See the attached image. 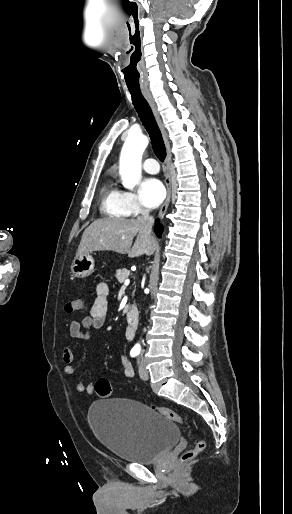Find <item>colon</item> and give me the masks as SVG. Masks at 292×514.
Here are the masks:
<instances>
[{
	"label": "colon",
	"mask_w": 292,
	"mask_h": 514,
	"mask_svg": "<svg viewBox=\"0 0 292 514\" xmlns=\"http://www.w3.org/2000/svg\"><path fill=\"white\" fill-rule=\"evenodd\" d=\"M84 310L85 303L80 296L71 299L66 305V311L68 313L82 312ZM94 390L101 399H108L112 392L111 383L106 377H99L94 385ZM152 410L159 413L165 419L187 427L196 437L193 447L183 452L181 457L183 462L193 460L202 451H204L206 447L204 439L198 435L196 430L189 423H187L179 413L173 409H169L163 406H152Z\"/></svg>",
	"instance_id": "1"
}]
</instances>
